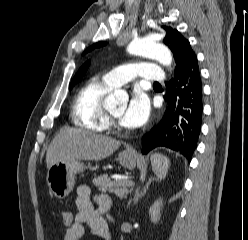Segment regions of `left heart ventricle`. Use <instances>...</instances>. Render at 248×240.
<instances>
[{"mask_svg": "<svg viewBox=\"0 0 248 240\" xmlns=\"http://www.w3.org/2000/svg\"><path fill=\"white\" fill-rule=\"evenodd\" d=\"M125 109H126V103L111 110L110 113L121 122V118H122V115L124 114ZM122 125L125 126L123 123Z\"/></svg>", "mask_w": 248, "mask_h": 240, "instance_id": "b2bd125f", "label": "left heart ventricle"}]
</instances>
